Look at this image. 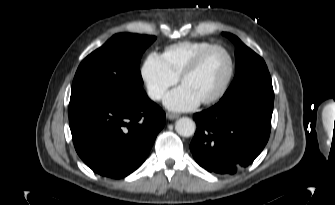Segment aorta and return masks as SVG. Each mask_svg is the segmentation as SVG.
I'll return each mask as SVG.
<instances>
[{
	"label": "aorta",
	"mask_w": 335,
	"mask_h": 205,
	"mask_svg": "<svg viewBox=\"0 0 335 205\" xmlns=\"http://www.w3.org/2000/svg\"><path fill=\"white\" fill-rule=\"evenodd\" d=\"M175 130L183 137H190L195 133L196 125L192 119L182 117L176 121Z\"/></svg>",
	"instance_id": "obj_1"
}]
</instances>
